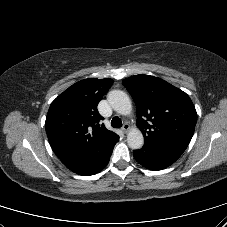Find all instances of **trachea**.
<instances>
[{
  "label": "trachea",
  "instance_id": "1",
  "mask_svg": "<svg viewBox=\"0 0 227 227\" xmlns=\"http://www.w3.org/2000/svg\"><path fill=\"white\" fill-rule=\"evenodd\" d=\"M111 125L114 128H120L122 126V121L119 117L115 116L111 121Z\"/></svg>",
  "mask_w": 227,
  "mask_h": 227
}]
</instances>
